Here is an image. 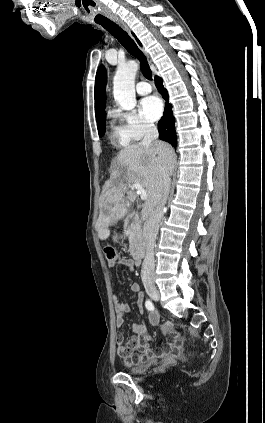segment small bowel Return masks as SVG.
Instances as JSON below:
<instances>
[{
	"label": "small bowel",
	"instance_id": "1",
	"mask_svg": "<svg viewBox=\"0 0 265 423\" xmlns=\"http://www.w3.org/2000/svg\"><path fill=\"white\" fill-rule=\"evenodd\" d=\"M137 263L131 259L119 258L108 263L109 268L113 269L121 265H125L129 270H134ZM131 291L137 294L136 304L139 311L143 312V295L138 283L131 285ZM115 303V325L121 327L127 319V314L130 311L129 303L120 301L118 295H114ZM159 321V314L156 310H151L149 314V323L156 325ZM133 336L128 340H124L122 334H118L116 339L118 343V354L125 361L126 365H140L145 361H151L157 358L172 359L181 356L183 342L177 332L170 331L167 333V342L163 348L154 350L150 348L149 343L152 338L147 334V324L145 322H138L132 324Z\"/></svg>",
	"mask_w": 265,
	"mask_h": 423
}]
</instances>
